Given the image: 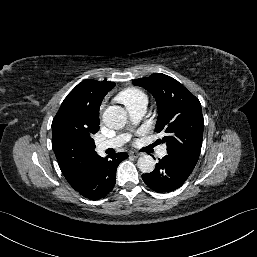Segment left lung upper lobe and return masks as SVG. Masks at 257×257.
<instances>
[{
	"label": "left lung upper lobe",
	"mask_w": 257,
	"mask_h": 257,
	"mask_svg": "<svg viewBox=\"0 0 257 257\" xmlns=\"http://www.w3.org/2000/svg\"><path fill=\"white\" fill-rule=\"evenodd\" d=\"M156 99L159 116L155 131L165 132L167 153L196 165L202 146L204 120L199 100L177 80L156 73L133 80Z\"/></svg>",
	"instance_id": "1"
}]
</instances>
